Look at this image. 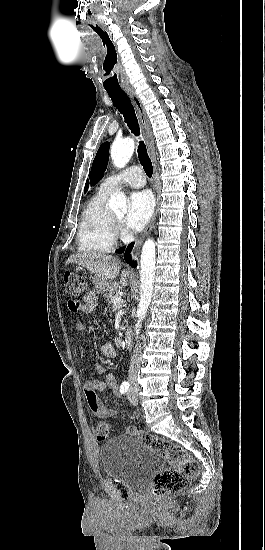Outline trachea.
Returning <instances> with one entry per match:
<instances>
[{
    "label": "trachea",
    "instance_id": "trachea-1",
    "mask_svg": "<svg viewBox=\"0 0 265 550\" xmlns=\"http://www.w3.org/2000/svg\"><path fill=\"white\" fill-rule=\"evenodd\" d=\"M109 97L111 98L113 105L118 109V111L123 115L124 120L135 136L140 135V128L137 120V116L134 110V107L131 103L130 98L123 91H107ZM138 157L145 173L151 177L153 173L152 162L148 156L146 145L143 141L139 142L138 145Z\"/></svg>",
    "mask_w": 265,
    "mask_h": 550
}]
</instances>
